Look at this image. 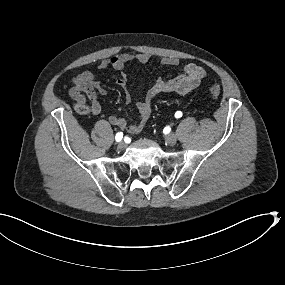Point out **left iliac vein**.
<instances>
[{
  "mask_svg": "<svg viewBox=\"0 0 285 285\" xmlns=\"http://www.w3.org/2000/svg\"><path fill=\"white\" fill-rule=\"evenodd\" d=\"M165 141L168 145L170 146H174L176 144L177 141V137L175 134L173 133H169L166 137H165Z\"/></svg>",
  "mask_w": 285,
  "mask_h": 285,
  "instance_id": "obj_1",
  "label": "left iliac vein"
}]
</instances>
